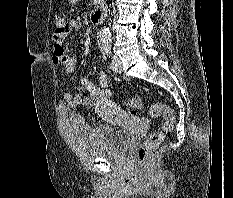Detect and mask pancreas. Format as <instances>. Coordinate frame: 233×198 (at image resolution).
<instances>
[{
  "label": "pancreas",
  "mask_w": 233,
  "mask_h": 198,
  "mask_svg": "<svg viewBox=\"0 0 233 198\" xmlns=\"http://www.w3.org/2000/svg\"><path fill=\"white\" fill-rule=\"evenodd\" d=\"M102 0H94V4L100 3Z\"/></svg>",
  "instance_id": "1"
}]
</instances>
